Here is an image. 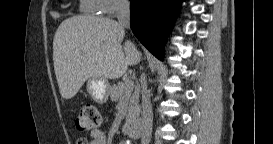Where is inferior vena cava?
I'll list each match as a JSON object with an SVG mask.
<instances>
[{
    "mask_svg": "<svg viewBox=\"0 0 273 144\" xmlns=\"http://www.w3.org/2000/svg\"><path fill=\"white\" fill-rule=\"evenodd\" d=\"M115 10L118 24L122 28L130 26V5L128 0H115ZM142 86V121H141V144H149L152 134L153 113L150 95L147 90L145 74L141 75Z\"/></svg>",
    "mask_w": 273,
    "mask_h": 144,
    "instance_id": "obj_1",
    "label": "inferior vena cava"
}]
</instances>
